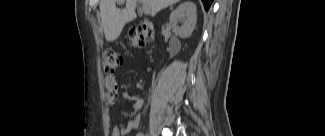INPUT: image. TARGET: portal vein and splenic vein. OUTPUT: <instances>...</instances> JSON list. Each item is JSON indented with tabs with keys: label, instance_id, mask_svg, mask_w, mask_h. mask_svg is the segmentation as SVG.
Returning <instances> with one entry per match:
<instances>
[{
	"label": "portal vein and splenic vein",
	"instance_id": "obj_1",
	"mask_svg": "<svg viewBox=\"0 0 325 136\" xmlns=\"http://www.w3.org/2000/svg\"><path fill=\"white\" fill-rule=\"evenodd\" d=\"M120 2H124L123 0H121ZM142 11L145 15H148L150 13V9L147 7V5H142Z\"/></svg>",
	"mask_w": 325,
	"mask_h": 136
}]
</instances>
